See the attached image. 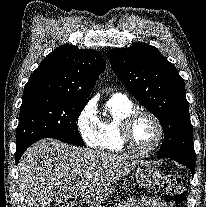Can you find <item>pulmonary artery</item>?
Returning a JSON list of instances; mask_svg holds the SVG:
<instances>
[{"mask_svg":"<svg viewBox=\"0 0 206 207\" xmlns=\"http://www.w3.org/2000/svg\"><path fill=\"white\" fill-rule=\"evenodd\" d=\"M115 95L118 96V97L126 98L125 95L124 94H121V93L115 94Z\"/></svg>","mask_w":206,"mask_h":207,"instance_id":"pulmonary-artery-1","label":"pulmonary artery"}]
</instances>
